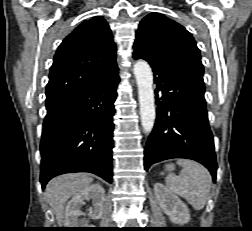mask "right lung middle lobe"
<instances>
[{
    "label": "right lung middle lobe",
    "instance_id": "1",
    "mask_svg": "<svg viewBox=\"0 0 252 231\" xmlns=\"http://www.w3.org/2000/svg\"><path fill=\"white\" fill-rule=\"evenodd\" d=\"M46 107L48 108V107H51V106H49V105H46Z\"/></svg>",
    "mask_w": 252,
    "mask_h": 231
}]
</instances>
